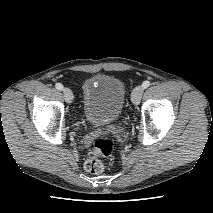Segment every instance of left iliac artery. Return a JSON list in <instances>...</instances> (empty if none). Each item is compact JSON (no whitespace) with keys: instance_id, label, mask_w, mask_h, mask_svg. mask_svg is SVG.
<instances>
[{"instance_id":"1","label":"left iliac artery","mask_w":213,"mask_h":213,"mask_svg":"<svg viewBox=\"0 0 213 213\" xmlns=\"http://www.w3.org/2000/svg\"><path fill=\"white\" fill-rule=\"evenodd\" d=\"M150 85H151L150 81H144V82L142 83V87H143L144 89L148 88Z\"/></svg>"}]
</instances>
